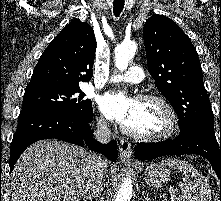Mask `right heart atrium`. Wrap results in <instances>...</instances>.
Listing matches in <instances>:
<instances>
[{
    "mask_svg": "<svg viewBox=\"0 0 221 201\" xmlns=\"http://www.w3.org/2000/svg\"><path fill=\"white\" fill-rule=\"evenodd\" d=\"M98 124H99L101 127H104V126L106 125V122H105V120H104L102 117H100V118L98 119Z\"/></svg>",
    "mask_w": 221,
    "mask_h": 201,
    "instance_id": "d8ad5b80",
    "label": "right heart atrium"
}]
</instances>
